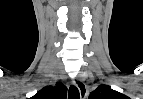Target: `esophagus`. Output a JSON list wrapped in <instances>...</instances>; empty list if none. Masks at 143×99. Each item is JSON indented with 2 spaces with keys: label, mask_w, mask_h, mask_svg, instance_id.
<instances>
[{
  "label": "esophagus",
  "mask_w": 143,
  "mask_h": 99,
  "mask_svg": "<svg viewBox=\"0 0 143 99\" xmlns=\"http://www.w3.org/2000/svg\"><path fill=\"white\" fill-rule=\"evenodd\" d=\"M76 86L80 92V98L85 99L87 95V87L81 78L76 79Z\"/></svg>",
  "instance_id": "1"
}]
</instances>
